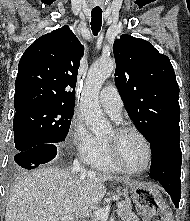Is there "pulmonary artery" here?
<instances>
[{"label":"pulmonary artery","mask_w":190,"mask_h":221,"mask_svg":"<svg viewBox=\"0 0 190 221\" xmlns=\"http://www.w3.org/2000/svg\"><path fill=\"white\" fill-rule=\"evenodd\" d=\"M99 101L104 110L116 121L121 120L122 98L114 85L104 87L99 94Z\"/></svg>","instance_id":"e3ab8cb5"}]
</instances>
